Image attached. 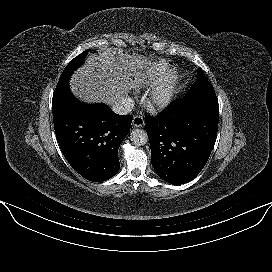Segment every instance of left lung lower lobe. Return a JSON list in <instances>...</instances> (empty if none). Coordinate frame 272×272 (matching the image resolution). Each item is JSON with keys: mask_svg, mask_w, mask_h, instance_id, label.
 <instances>
[{"mask_svg": "<svg viewBox=\"0 0 272 272\" xmlns=\"http://www.w3.org/2000/svg\"><path fill=\"white\" fill-rule=\"evenodd\" d=\"M218 120L215 93L184 97L156 117L146 115L151 162L157 175L171 184L193 180L211 154Z\"/></svg>", "mask_w": 272, "mask_h": 272, "instance_id": "obj_1", "label": "left lung lower lobe"}]
</instances>
